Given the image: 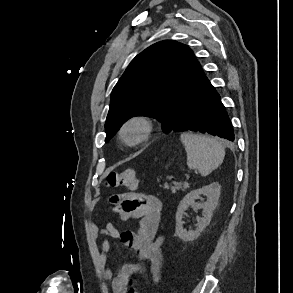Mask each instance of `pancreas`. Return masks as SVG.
<instances>
[{
	"instance_id": "obj_1",
	"label": "pancreas",
	"mask_w": 293,
	"mask_h": 293,
	"mask_svg": "<svg viewBox=\"0 0 293 293\" xmlns=\"http://www.w3.org/2000/svg\"><path fill=\"white\" fill-rule=\"evenodd\" d=\"M164 188L165 189H170L171 192L173 194L179 192L180 190L184 191L186 190L187 188H189V184L188 183H184V184H181V183H177V182H174L173 185H168L167 183L164 184Z\"/></svg>"
}]
</instances>
